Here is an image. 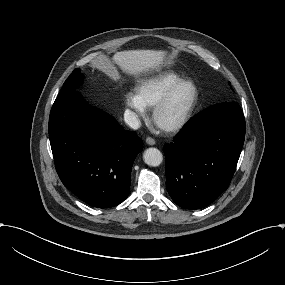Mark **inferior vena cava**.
<instances>
[{
  "mask_svg": "<svg viewBox=\"0 0 285 285\" xmlns=\"http://www.w3.org/2000/svg\"><path fill=\"white\" fill-rule=\"evenodd\" d=\"M124 121L133 129H138L140 127V120L137 118L135 112L130 109H126L124 112Z\"/></svg>",
  "mask_w": 285,
  "mask_h": 285,
  "instance_id": "obj_1",
  "label": "inferior vena cava"
}]
</instances>
